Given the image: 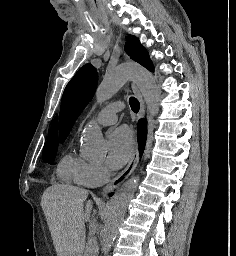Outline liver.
I'll return each instance as SVG.
<instances>
[{"label": "liver", "mask_w": 236, "mask_h": 256, "mask_svg": "<svg viewBox=\"0 0 236 256\" xmlns=\"http://www.w3.org/2000/svg\"><path fill=\"white\" fill-rule=\"evenodd\" d=\"M87 190L56 184L45 190L41 204L52 234L57 256H82L85 248V222L92 214V202H84Z\"/></svg>", "instance_id": "obj_1"}]
</instances>
